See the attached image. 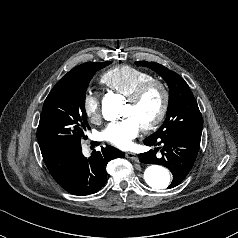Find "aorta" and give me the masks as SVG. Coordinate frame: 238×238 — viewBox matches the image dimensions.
I'll return each mask as SVG.
<instances>
[{"mask_svg": "<svg viewBox=\"0 0 238 238\" xmlns=\"http://www.w3.org/2000/svg\"><path fill=\"white\" fill-rule=\"evenodd\" d=\"M122 101L118 96H107L103 99L102 114L108 121L116 120L119 117ZM145 182L155 190H164L171 183L169 171L160 165L152 164L144 171Z\"/></svg>", "mask_w": 238, "mask_h": 238, "instance_id": "1", "label": "aorta"}]
</instances>
